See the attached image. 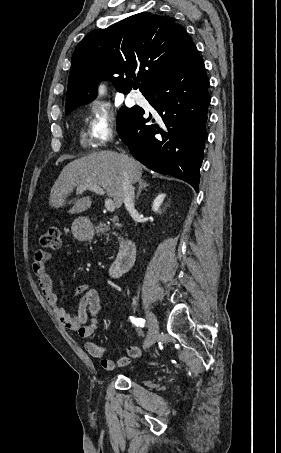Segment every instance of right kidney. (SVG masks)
Segmentation results:
<instances>
[{
	"instance_id": "1",
	"label": "right kidney",
	"mask_w": 281,
	"mask_h": 453,
	"mask_svg": "<svg viewBox=\"0 0 281 453\" xmlns=\"http://www.w3.org/2000/svg\"><path fill=\"white\" fill-rule=\"evenodd\" d=\"M165 198V194H158L156 198L153 200L152 208L155 210V212H159L160 206Z\"/></svg>"
}]
</instances>
